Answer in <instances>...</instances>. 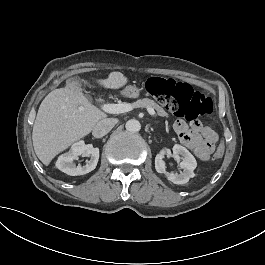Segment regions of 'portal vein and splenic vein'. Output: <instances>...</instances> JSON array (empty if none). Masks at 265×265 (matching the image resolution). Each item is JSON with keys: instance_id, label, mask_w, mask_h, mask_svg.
Here are the masks:
<instances>
[{"instance_id": "18ae733b", "label": "portal vein and splenic vein", "mask_w": 265, "mask_h": 265, "mask_svg": "<svg viewBox=\"0 0 265 265\" xmlns=\"http://www.w3.org/2000/svg\"><path fill=\"white\" fill-rule=\"evenodd\" d=\"M102 110L109 114H120L133 110V105L130 103H120V104H104L102 105ZM150 115H154L155 111L152 108H147Z\"/></svg>"}]
</instances>
